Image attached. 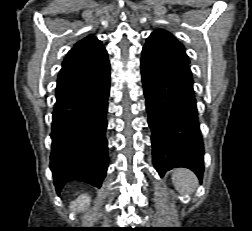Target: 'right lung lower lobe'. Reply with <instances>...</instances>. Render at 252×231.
Here are the masks:
<instances>
[{
    "label": "right lung lower lobe",
    "mask_w": 252,
    "mask_h": 231,
    "mask_svg": "<svg viewBox=\"0 0 252 231\" xmlns=\"http://www.w3.org/2000/svg\"><path fill=\"white\" fill-rule=\"evenodd\" d=\"M110 73L56 96L50 169L59 194L74 180L100 187L108 168L105 138Z\"/></svg>",
    "instance_id": "right-lung-lower-lobe-1"
}]
</instances>
